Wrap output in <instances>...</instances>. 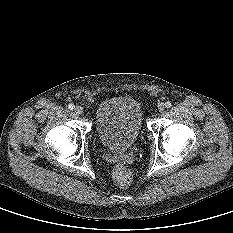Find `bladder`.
<instances>
[{"mask_svg": "<svg viewBox=\"0 0 233 233\" xmlns=\"http://www.w3.org/2000/svg\"><path fill=\"white\" fill-rule=\"evenodd\" d=\"M94 123L98 138L106 148L112 151L126 150L142 134V105L129 95L106 98L95 110Z\"/></svg>", "mask_w": 233, "mask_h": 233, "instance_id": "obj_1", "label": "bladder"}]
</instances>
